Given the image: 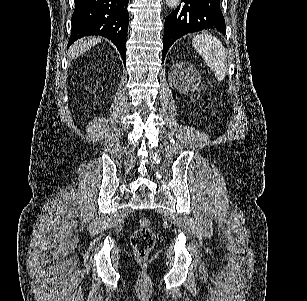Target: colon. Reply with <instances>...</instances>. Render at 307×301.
Instances as JSON below:
<instances>
[{
  "instance_id": "1",
  "label": "colon",
  "mask_w": 307,
  "mask_h": 301,
  "mask_svg": "<svg viewBox=\"0 0 307 301\" xmlns=\"http://www.w3.org/2000/svg\"><path fill=\"white\" fill-rule=\"evenodd\" d=\"M156 242V234L149 218H141L139 227L131 236V245L139 259H146Z\"/></svg>"
}]
</instances>
